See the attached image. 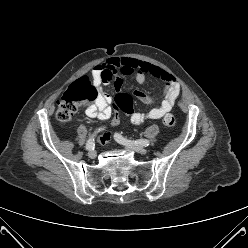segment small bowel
I'll use <instances>...</instances> for the list:
<instances>
[{
  "label": "small bowel",
  "instance_id": "small-bowel-1",
  "mask_svg": "<svg viewBox=\"0 0 248 248\" xmlns=\"http://www.w3.org/2000/svg\"><path fill=\"white\" fill-rule=\"evenodd\" d=\"M118 74L133 76L140 84H144L148 76L165 83V88L160 95L159 102L155 106L147 113L135 112L133 116H130V122L134 126L141 125L146 119L162 118L166 113L171 111L180 95L179 80L172 73L147 62L132 58L115 57L96 65L92 70L94 84L99 89L101 85L108 83L113 78H116L115 86L120 88L121 81L117 78ZM134 96L142 103L149 104L152 102L151 97L141 90H135ZM110 104L111 97L100 91L96 100L86 108L85 114L89 118L107 120L111 116Z\"/></svg>",
  "mask_w": 248,
  "mask_h": 248
}]
</instances>
